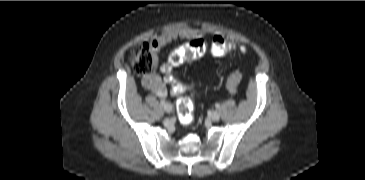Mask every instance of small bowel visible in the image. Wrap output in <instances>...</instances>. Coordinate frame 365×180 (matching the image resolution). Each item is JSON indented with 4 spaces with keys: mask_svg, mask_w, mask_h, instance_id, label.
Masks as SVG:
<instances>
[{
    "mask_svg": "<svg viewBox=\"0 0 365 180\" xmlns=\"http://www.w3.org/2000/svg\"><path fill=\"white\" fill-rule=\"evenodd\" d=\"M202 32L196 28H183L179 30L170 31L156 39H153L149 42L152 48L158 53L163 47L167 44L171 43L174 40L182 39V40H193L196 38H200ZM166 72V69L164 70ZM144 85L152 90L154 93L165 96L167 93L166 85L164 84L162 78L159 75H151L143 80Z\"/></svg>",
    "mask_w": 365,
    "mask_h": 180,
    "instance_id": "1",
    "label": "small bowel"
}]
</instances>
